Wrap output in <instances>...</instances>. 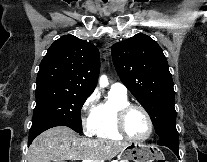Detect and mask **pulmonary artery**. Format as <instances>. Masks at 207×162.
I'll return each instance as SVG.
<instances>
[{
	"mask_svg": "<svg viewBox=\"0 0 207 162\" xmlns=\"http://www.w3.org/2000/svg\"><path fill=\"white\" fill-rule=\"evenodd\" d=\"M110 90L112 92L120 94V95H126V93H127L126 86L120 82H116V83L112 84Z\"/></svg>",
	"mask_w": 207,
	"mask_h": 162,
	"instance_id": "obj_1",
	"label": "pulmonary artery"
}]
</instances>
